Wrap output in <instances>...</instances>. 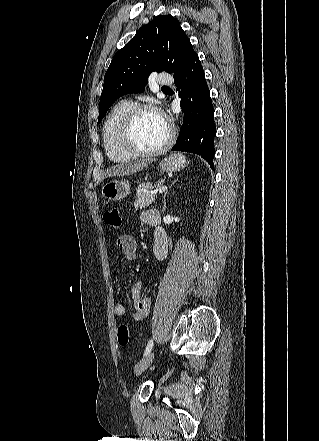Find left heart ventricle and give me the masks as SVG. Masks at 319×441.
Segmentation results:
<instances>
[{
  "label": "left heart ventricle",
  "mask_w": 319,
  "mask_h": 441,
  "mask_svg": "<svg viewBox=\"0 0 319 441\" xmlns=\"http://www.w3.org/2000/svg\"><path fill=\"white\" fill-rule=\"evenodd\" d=\"M168 128L164 119L154 112L141 113L134 125V144L145 151L158 148L166 140Z\"/></svg>",
  "instance_id": "left-heart-ventricle-1"
}]
</instances>
